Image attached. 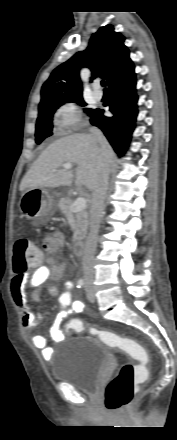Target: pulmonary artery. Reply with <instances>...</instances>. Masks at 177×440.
I'll return each mask as SVG.
<instances>
[{
	"mask_svg": "<svg viewBox=\"0 0 177 440\" xmlns=\"http://www.w3.org/2000/svg\"><path fill=\"white\" fill-rule=\"evenodd\" d=\"M103 94L101 91H99L98 89H95L93 91V97L95 100H100L102 98Z\"/></svg>",
	"mask_w": 177,
	"mask_h": 440,
	"instance_id": "obj_1",
	"label": "pulmonary artery"
}]
</instances>
